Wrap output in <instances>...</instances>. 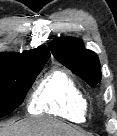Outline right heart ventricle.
Returning a JSON list of instances; mask_svg holds the SVG:
<instances>
[{
    "label": "right heart ventricle",
    "instance_id": "1",
    "mask_svg": "<svg viewBox=\"0 0 117 136\" xmlns=\"http://www.w3.org/2000/svg\"><path fill=\"white\" fill-rule=\"evenodd\" d=\"M86 98L75 79L64 69L46 74L37 84L30 98L33 113H48L61 118L83 122Z\"/></svg>",
    "mask_w": 117,
    "mask_h": 136
}]
</instances>
